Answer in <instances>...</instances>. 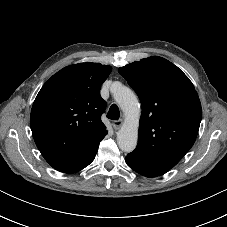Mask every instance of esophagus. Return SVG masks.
I'll return each instance as SVG.
<instances>
[{"label": "esophagus", "mask_w": 227, "mask_h": 227, "mask_svg": "<svg viewBox=\"0 0 227 227\" xmlns=\"http://www.w3.org/2000/svg\"><path fill=\"white\" fill-rule=\"evenodd\" d=\"M123 125V119H119L113 122L114 129L118 130Z\"/></svg>", "instance_id": "obj_1"}]
</instances>
